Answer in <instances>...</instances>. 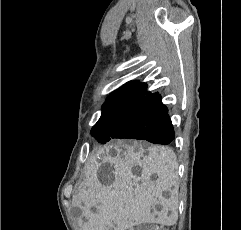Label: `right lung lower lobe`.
I'll return each mask as SVG.
<instances>
[{"label":"right lung lower lobe","mask_w":241,"mask_h":230,"mask_svg":"<svg viewBox=\"0 0 241 230\" xmlns=\"http://www.w3.org/2000/svg\"><path fill=\"white\" fill-rule=\"evenodd\" d=\"M143 118L144 123L135 131L138 140L164 145L174 140V129L168 115V109L162 104L159 93L147 104Z\"/></svg>","instance_id":"98d812e1"}]
</instances>
